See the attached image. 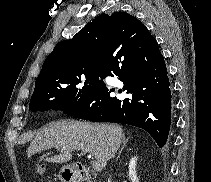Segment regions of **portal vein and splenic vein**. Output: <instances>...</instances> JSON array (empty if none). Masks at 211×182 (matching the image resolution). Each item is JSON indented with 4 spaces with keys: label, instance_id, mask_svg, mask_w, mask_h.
Segmentation results:
<instances>
[{
    "label": "portal vein and splenic vein",
    "instance_id": "1",
    "mask_svg": "<svg viewBox=\"0 0 211 182\" xmlns=\"http://www.w3.org/2000/svg\"><path fill=\"white\" fill-rule=\"evenodd\" d=\"M82 153H85V151H82ZM92 165H93V168L95 171H97V172L101 171V166L97 161H93Z\"/></svg>",
    "mask_w": 211,
    "mask_h": 182
}]
</instances>
